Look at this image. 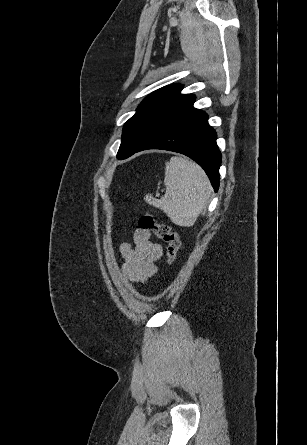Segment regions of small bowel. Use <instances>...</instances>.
<instances>
[{
  "label": "small bowel",
  "instance_id": "1",
  "mask_svg": "<svg viewBox=\"0 0 307 445\" xmlns=\"http://www.w3.org/2000/svg\"><path fill=\"white\" fill-rule=\"evenodd\" d=\"M124 258L122 273L130 282L144 283L157 273V262L163 254L162 246L152 241L149 231L137 228L132 242L120 246Z\"/></svg>",
  "mask_w": 307,
  "mask_h": 445
}]
</instances>
